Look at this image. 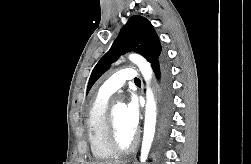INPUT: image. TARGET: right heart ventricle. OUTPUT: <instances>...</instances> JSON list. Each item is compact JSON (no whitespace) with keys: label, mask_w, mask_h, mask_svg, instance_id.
Returning <instances> with one entry per match:
<instances>
[{"label":"right heart ventricle","mask_w":251,"mask_h":164,"mask_svg":"<svg viewBox=\"0 0 251 164\" xmlns=\"http://www.w3.org/2000/svg\"><path fill=\"white\" fill-rule=\"evenodd\" d=\"M109 96L98 93L93 99L86 118L87 136L94 158L106 160L115 156L107 140V112Z\"/></svg>","instance_id":"right-heart-ventricle-1"}]
</instances>
